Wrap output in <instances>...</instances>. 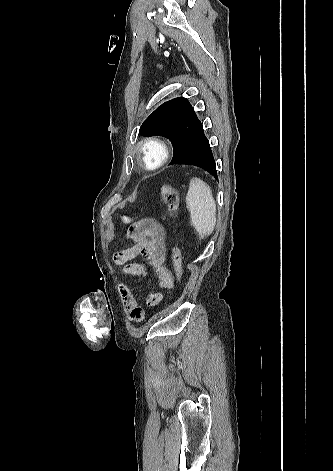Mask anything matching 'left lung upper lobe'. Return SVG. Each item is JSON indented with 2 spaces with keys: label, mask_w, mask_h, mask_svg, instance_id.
Listing matches in <instances>:
<instances>
[{
  "label": "left lung upper lobe",
  "mask_w": 333,
  "mask_h": 471,
  "mask_svg": "<svg viewBox=\"0 0 333 471\" xmlns=\"http://www.w3.org/2000/svg\"><path fill=\"white\" fill-rule=\"evenodd\" d=\"M201 121L187 98L178 97L160 105L143 122L139 133L142 136H163L173 145L177 155L193 138Z\"/></svg>",
  "instance_id": "left-lung-upper-lobe-1"
}]
</instances>
